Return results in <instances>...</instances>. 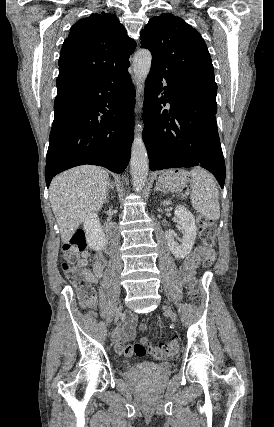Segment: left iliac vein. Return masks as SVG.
<instances>
[{
	"label": "left iliac vein",
	"instance_id": "4c4485c4",
	"mask_svg": "<svg viewBox=\"0 0 274 427\" xmlns=\"http://www.w3.org/2000/svg\"><path fill=\"white\" fill-rule=\"evenodd\" d=\"M163 311H164V313L168 316V317H170V319L172 320V322H176V316L174 315V313L172 312V310L169 308V307H167V306H163Z\"/></svg>",
	"mask_w": 274,
	"mask_h": 427
}]
</instances>
